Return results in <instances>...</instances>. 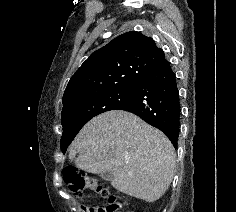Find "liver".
Returning <instances> with one entry per match:
<instances>
[{"instance_id": "obj_1", "label": "liver", "mask_w": 236, "mask_h": 212, "mask_svg": "<svg viewBox=\"0 0 236 212\" xmlns=\"http://www.w3.org/2000/svg\"><path fill=\"white\" fill-rule=\"evenodd\" d=\"M175 158L164 133L132 113L115 110L91 119L69 151L77 168L94 174L112 170L116 190L149 203L171 184Z\"/></svg>"}]
</instances>
